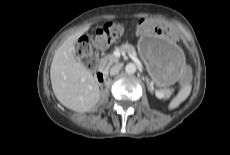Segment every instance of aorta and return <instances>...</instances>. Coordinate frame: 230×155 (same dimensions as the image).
<instances>
[{"mask_svg": "<svg viewBox=\"0 0 230 155\" xmlns=\"http://www.w3.org/2000/svg\"><path fill=\"white\" fill-rule=\"evenodd\" d=\"M136 65L134 63H128L126 66H125V71L128 73V74H134L136 72Z\"/></svg>", "mask_w": 230, "mask_h": 155, "instance_id": "1", "label": "aorta"}]
</instances>
